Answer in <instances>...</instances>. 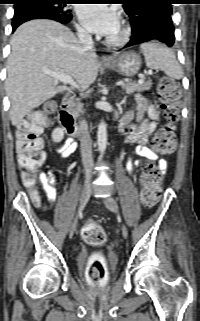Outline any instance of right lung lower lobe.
Segmentation results:
<instances>
[{"instance_id":"1","label":"right lung lower lobe","mask_w":200,"mask_h":321,"mask_svg":"<svg viewBox=\"0 0 200 321\" xmlns=\"http://www.w3.org/2000/svg\"><path fill=\"white\" fill-rule=\"evenodd\" d=\"M32 19H51L62 24H67L72 20L70 13H57L46 7L26 6L17 8L12 19V32L22 23Z\"/></svg>"}]
</instances>
